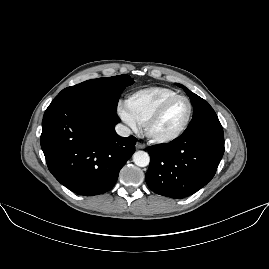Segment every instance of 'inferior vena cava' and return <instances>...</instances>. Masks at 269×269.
<instances>
[{
    "label": "inferior vena cava",
    "instance_id": "602c4592",
    "mask_svg": "<svg viewBox=\"0 0 269 269\" xmlns=\"http://www.w3.org/2000/svg\"><path fill=\"white\" fill-rule=\"evenodd\" d=\"M116 132L122 137H128L132 134L131 130L128 127L121 124L116 125Z\"/></svg>",
    "mask_w": 269,
    "mask_h": 269
}]
</instances>
